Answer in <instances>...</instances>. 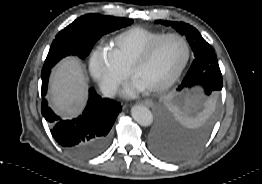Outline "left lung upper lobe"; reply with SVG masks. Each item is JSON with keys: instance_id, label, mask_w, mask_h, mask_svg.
<instances>
[{"instance_id": "obj_1", "label": "left lung upper lobe", "mask_w": 262, "mask_h": 184, "mask_svg": "<svg viewBox=\"0 0 262 184\" xmlns=\"http://www.w3.org/2000/svg\"><path fill=\"white\" fill-rule=\"evenodd\" d=\"M159 22L166 26H172L181 34L187 37L189 44L194 52L195 58L207 54V53H215L210 44H208L200 35L198 30L191 25L183 22H172V21H162ZM194 70L187 72L185 78L182 83L179 85L178 90H184L185 88H191L196 85H200L203 87L206 95H211L216 92H219L222 89L223 81L222 78H214L211 75H203L199 74L198 76H194ZM203 73V72H201ZM201 77V78H200Z\"/></svg>"}]
</instances>
